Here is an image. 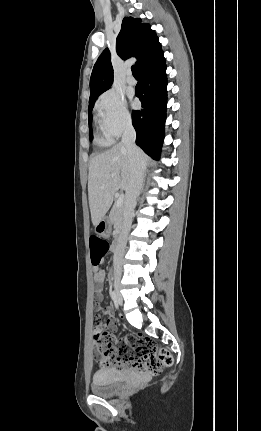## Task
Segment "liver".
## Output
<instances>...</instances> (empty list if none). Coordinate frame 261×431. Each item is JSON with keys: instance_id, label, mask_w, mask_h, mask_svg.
<instances>
[{"instance_id": "liver-1", "label": "liver", "mask_w": 261, "mask_h": 431, "mask_svg": "<svg viewBox=\"0 0 261 431\" xmlns=\"http://www.w3.org/2000/svg\"><path fill=\"white\" fill-rule=\"evenodd\" d=\"M139 151L145 167L149 158L141 149ZM131 176L129 154L122 143L90 160L88 198L94 226L105 217L113 203L115 193L119 189L127 191Z\"/></svg>"}]
</instances>
